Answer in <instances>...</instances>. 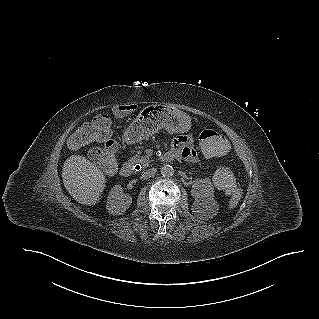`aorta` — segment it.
Listing matches in <instances>:
<instances>
[{"label": "aorta", "instance_id": "762f6f07", "mask_svg": "<svg viewBox=\"0 0 319 319\" xmlns=\"http://www.w3.org/2000/svg\"><path fill=\"white\" fill-rule=\"evenodd\" d=\"M160 172H161L163 177L169 178V177H172L174 175V168L169 164H165L161 167Z\"/></svg>", "mask_w": 319, "mask_h": 319}]
</instances>
